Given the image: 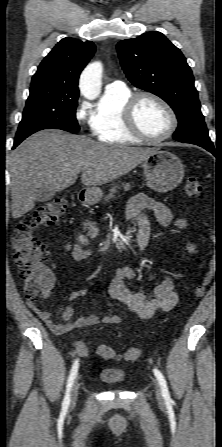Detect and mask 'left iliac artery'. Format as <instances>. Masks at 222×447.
Wrapping results in <instances>:
<instances>
[{
  "label": "left iliac artery",
  "mask_w": 222,
  "mask_h": 447,
  "mask_svg": "<svg viewBox=\"0 0 222 447\" xmlns=\"http://www.w3.org/2000/svg\"><path fill=\"white\" fill-rule=\"evenodd\" d=\"M154 375L156 376L160 387H161V391H162V396L164 397V399L166 401H171L170 395H169V391H168V387H167V383L166 380L163 376V374L158 370V369H154L153 370Z\"/></svg>",
  "instance_id": "1"
}]
</instances>
